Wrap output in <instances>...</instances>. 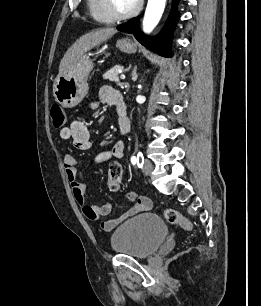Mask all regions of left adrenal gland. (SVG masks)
I'll return each mask as SVG.
<instances>
[{
    "instance_id": "obj_1",
    "label": "left adrenal gland",
    "mask_w": 261,
    "mask_h": 306,
    "mask_svg": "<svg viewBox=\"0 0 261 306\" xmlns=\"http://www.w3.org/2000/svg\"><path fill=\"white\" fill-rule=\"evenodd\" d=\"M138 78V75L136 73V67L134 68L133 72H132V80L135 82Z\"/></svg>"
}]
</instances>
